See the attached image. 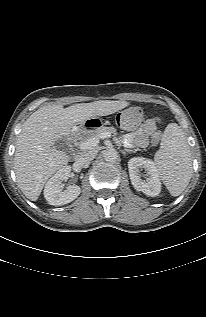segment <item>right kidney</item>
Listing matches in <instances>:
<instances>
[{
  "label": "right kidney",
  "mask_w": 206,
  "mask_h": 317,
  "mask_svg": "<svg viewBox=\"0 0 206 317\" xmlns=\"http://www.w3.org/2000/svg\"><path fill=\"white\" fill-rule=\"evenodd\" d=\"M71 173V167L65 166L57 171L46 183L44 197L50 205L61 206L75 200L81 193L77 185H69L63 190L62 182L66 181Z\"/></svg>",
  "instance_id": "ca27d5eb"
}]
</instances>
